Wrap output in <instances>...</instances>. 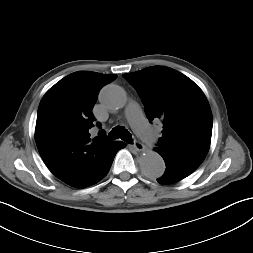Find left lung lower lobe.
Returning a JSON list of instances; mask_svg holds the SVG:
<instances>
[{"instance_id":"obj_1","label":"left lung lower lobe","mask_w":253,"mask_h":253,"mask_svg":"<svg viewBox=\"0 0 253 253\" xmlns=\"http://www.w3.org/2000/svg\"><path fill=\"white\" fill-rule=\"evenodd\" d=\"M159 154L163 157L166 164L164 175L157 179L162 184H171L182 180L194 172L202 163L190 158L177 157L165 153Z\"/></svg>"}]
</instances>
